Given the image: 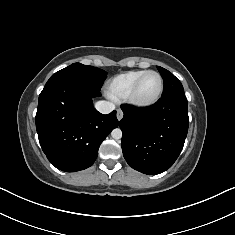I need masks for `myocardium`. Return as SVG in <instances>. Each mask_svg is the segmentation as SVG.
I'll list each match as a JSON object with an SVG mask.
<instances>
[{
  "mask_svg": "<svg viewBox=\"0 0 235 235\" xmlns=\"http://www.w3.org/2000/svg\"><path fill=\"white\" fill-rule=\"evenodd\" d=\"M148 74H155L159 78V90L154 98L147 100V101H140L136 98V92H137L139 84L141 83L143 78ZM163 90H164V82H163V78L160 75V73H158L157 71H154V70H147L136 79V81L132 85L131 89L129 90L125 100L134 108L146 109V108H149V107L155 105L160 100V98L163 94Z\"/></svg>",
  "mask_w": 235,
  "mask_h": 235,
  "instance_id": "obj_1",
  "label": "myocardium"
}]
</instances>
